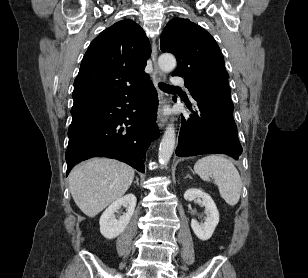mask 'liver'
I'll use <instances>...</instances> for the list:
<instances>
[{
	"instance_id": "1",
	"label": "liver",
	"mask_w": 308,
	"mask_h": 278,
	"mask_svg": "<svg viewBox=\"0 0 308 278\" xmlns=\"http://www.w3.org/2000/svg\"><path fill=\"white\" fill-rule=\"evenodd\" d=\"M134 179V169L108 158H93L70 172L71 195L88 217H95L111 203L119 200Z\"/></svg>"
}]
</instances>
